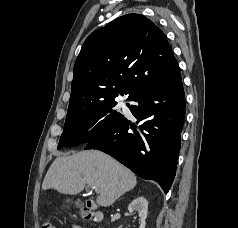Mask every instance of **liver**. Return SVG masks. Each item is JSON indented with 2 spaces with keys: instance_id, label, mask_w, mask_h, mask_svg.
I'll list each match as a JSON object with an SVG mask.
<instances>
[{
  "instance_id": "obj_1",
  "label": "liver",
  "mask_w": 238,
  "mask_h": 228,
  "mask_svg": "<svg viewBox=\"0 0 238 228\" xmlns=\"http://www.w3.org/2000/svg\"><path fill=\"white\" fill-rule=\"evenodd\" d=\"M86 184L98 193L97 204L108 207L133 189L137 179L132 171L109 155L89 150L57 157L46 173L42 188L76 195Z\"/></svg>"
}]
</instances>
